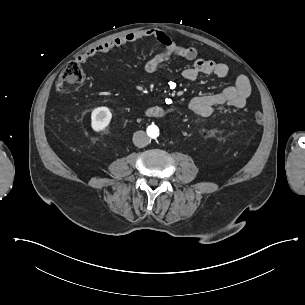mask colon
Wrapping results in <instances>:
<instances>
[{
	"mask_svg": "<svg viewBox=\"0 0 305 305\" xmlns=\"http://www.w3.org/2000/svg\"><path fill=\"white\" fill-rule=\"evenodd\" d=\"M84 75V66L79 61H69L64 66V71L56 81V90L59 92L77 91L82 86ZM254 120L257 124L263 122V116L256 112Z\"/></svg>",
	"mask_w": 305,
	"mask_h": 305,
	"instance_id": "1",
	"label": "colon"
}]
</instances>
